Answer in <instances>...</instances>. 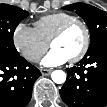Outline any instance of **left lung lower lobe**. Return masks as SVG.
Segmentation results:
<instances>
[{
  "mask_svg": "<svg viewBox=\"0 0 107 107\" xmlns=\"http://www.w3.org/2000/svg\"><path fill=\"white\" fill-rule=\"evenodd\" d=\"M60 95L69 107L107 106V42L88 50L76 66L67 68Z\"/></svg>",
  "mask_w": 107,
  "mask_h": 107,
  "instance_id": "obj_1",
  "label": "left lung lower lobe"
}]
</instances>
